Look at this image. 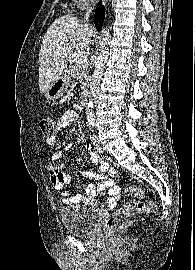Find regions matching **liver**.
<instances>
[{"label": "liver", "instance_id": "obj_1", "mask_svg": "<svg viewBox=\"0 0 195 270\" xmlns=\"http://www.w3.org/2000/svg\"><path fill=\"white\" fill-rule=\"evenodd\" d=\"M93 36V28L72 15H63L51 24L39 53L40 93L49 89L64 72L73 53L86 48Z\"/></svg>", "mask_w": 195, "mask_h": 270}]
</instances>
